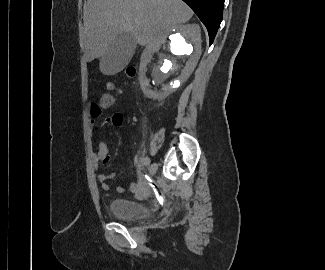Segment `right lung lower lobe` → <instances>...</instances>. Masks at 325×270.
Masks as SVG:
<instances>
[{"instance_id": "1", "label": "right lung lower lobe", "mask_w": 325, "mask_h": 270, "mask_svg": "<svg viewBox=\"0 0 325 270\" xmlns=\"http://www.w3.org/2000/svg\"><path fill=\"white\" fill-rule=\"evenodd\" d=\"M206 26L212 44L222 21L224 0H183Z\"/></svg>"}]
</instances>
